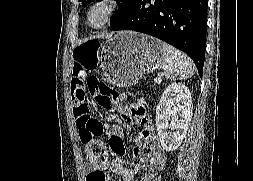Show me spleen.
Listing matches in <instances>:
<instances>
[{
	"instance_id": "spleen-1",
	"label": "spleen",
	"mask_w": 253,
	"mask_h": 181,
	"mask_svg": "<svg viewBox=\"0 0 253 181\" xmlns=\"http://www.w3.org/2000/svg\"><path fill=\"white\" fill-rule=\"evenodd\" d=\"M162 68L165 77L171 81L189 78L195 70L193 61L187 55L167 43H163Z\"/></svg>"
}]
</instances>
